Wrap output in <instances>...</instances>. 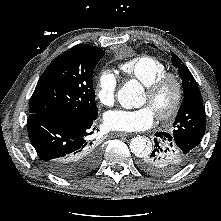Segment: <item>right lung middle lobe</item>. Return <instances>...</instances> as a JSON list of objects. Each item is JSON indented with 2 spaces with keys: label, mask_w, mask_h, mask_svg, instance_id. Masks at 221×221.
<instances>
[{
  "label": "right lung middle lobe",
  "mask_w": 221,
  "mask_h": 221,
  "mask_svg": "<svg viewBox=\"0 0 221 221\" xmlns=\"http://www.w3.org/2000/svg\"><path fill=\"white\" fill-rule=\"evenodd\" d=\"M104 54L96 46L79 44L56 57L37 83L30 114L78 118L98 114L92 77Z\"/></svg>",
  "instance_id": "obj_1"
}]
</instances>
